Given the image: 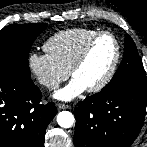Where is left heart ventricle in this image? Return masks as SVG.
I'll list each match as a JSON object with an SVG mask.
<instances>
[{
  "label": "left heart ventricle",
  "instance_id": "left-heart-ventricle-1",
  "mask_svg": "<svg viewBox=\"0 0 147 147\" xmlns=\"http://www.w3.org/2000/svg\"><path fill=\"white\" fill-rule=\"evenodd\" d=\"M115 57V44L110 36L100 37L92 46L85 62L74 73L73 78L86 88L96 85L108 72Z\"/></svg>",
  "mask_w": 147,
  "mask_h": 147
}]
</instances>
